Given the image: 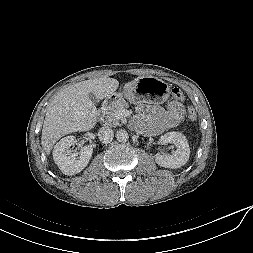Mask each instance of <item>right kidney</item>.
Masks as SVG:
<instances>
[{
  "label": "right kidney",
  "mask_w": 253,
  "mask_h": 253,
  "mask_svg": "<svg viewBox=\"0 0 253 253\" xmlns=\"http://www.w3.org/2000/svg\"><path fill=\"white\" fill-rule=\"evenodd\" d=\"M76 142L74 136L62 138L53 150V159L59 169L65 175H74L82 171L89 163L93 148L92 146H84L79 153L71 152L69 147Z\"/></svg>",
  "instance_id": "1"
}]
</instances>
